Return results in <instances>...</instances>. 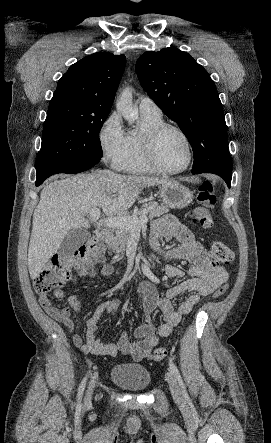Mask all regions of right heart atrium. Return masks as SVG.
Segmentation results:
<instances>
[{"label":"right heart atrium","mask_w":271,"mask_h":443,"mask_svg":"<svg viewBox=\"0 0 271 443\" xmlns=\"http://www.w3.org/2000/svg\"><path fill=\"white\" fill-rule=\"evenodd\" d=\"M97 138L104 158L119 166L126 151V135L117 111H112L101 122Z\"/></svg>","instance_id":"right-heart-atrium-1"}]
</instances>
